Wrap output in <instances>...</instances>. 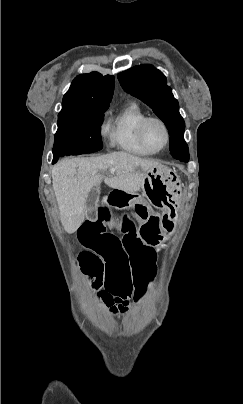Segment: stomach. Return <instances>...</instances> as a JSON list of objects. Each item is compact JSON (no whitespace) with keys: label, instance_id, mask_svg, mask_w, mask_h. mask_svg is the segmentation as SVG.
Masks as SVG:
<instances>
[{"label":"stomach","instance_id":"0dacf381","mask_svg":"<svg viewBox=\"0 0 243 404\" xmlns=\"http://www.w3.org/2000/svg\"><path fill=\"white\" fill-rule=\"evenodd\" d=\"M141 189L147 201L138 196L130 203L140 223L139 236L147 246H160L175 229L174 205L181 197V181L174 171L157 164L145 172ZM151 206L164 213L154 212Z\"/></svg>","mask_w":243,"mask_h":404}]
</instances>
